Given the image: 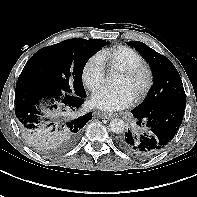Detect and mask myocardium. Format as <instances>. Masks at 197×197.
<instances>
[{
  "mask_svg": "<svg viewBox=\"0 0 197 197\" xmlns=\"http://www.w3.org/2000/svg\"><path fill=\"white\" fill-rule=\"evenodd\" d=\"M122 75L131 81L142 80V83L134 96L136 100L144 98L152 87L153 73L151 68L144 63L129 69L122 70Z\"/></svg>",
  "mask_w": 197,
  "mask_h": 197,
  "instance_id": "f54148a6",
  "label": "myocardium"
}]
</instances>
